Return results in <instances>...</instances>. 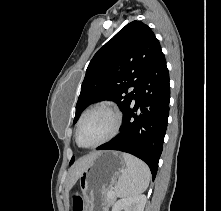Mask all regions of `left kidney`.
<instances>
[{"instance_id": "obj_1", "label": "left kidney", "mask_w": 221, "mask_h": 211, "mask_svg": "<svg viewBox=\"0 0 221 211\" xmlns=\"http://www.w3.org/2000/svg\"><path fill=\"white\" fill-rule=\"evenodd\" d=\"M146 200L145 195L123 198L114 204L112 211H144Z\"/></svg>"}]
</instances>
